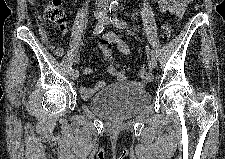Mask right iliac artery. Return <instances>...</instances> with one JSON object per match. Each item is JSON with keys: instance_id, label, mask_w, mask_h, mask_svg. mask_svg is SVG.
<instances>
[{"instance_id": "right-iliac-artery-1", "label": "right iliac artery", "mask_w": 225, "mask_h": 159, "mask_svg": "<svg viewBox=\"0 0 225 159\" xmlns=\"http://www.w3.org/2000/svg\"><path fill=\"white\" fill-rule=\"evenodd\" d=\"M111 10H112L111 7L108 8V11L111 12ZM103 30H104V23H103V20H100L99 23L96 25V27H95V29H94V31H93V34H94V35H98V34H100ZM73 71H74V69L71 67V68H70V74H71V72H73Z\"/></svg>"}]
</instances>
